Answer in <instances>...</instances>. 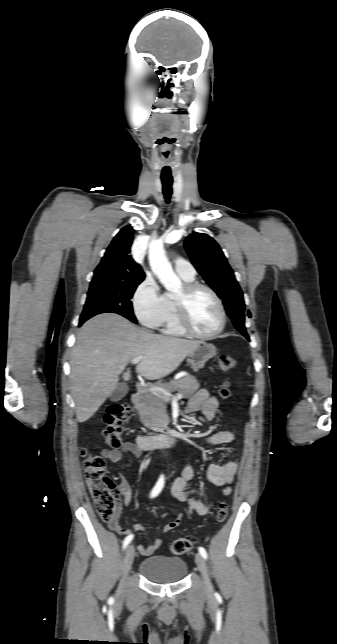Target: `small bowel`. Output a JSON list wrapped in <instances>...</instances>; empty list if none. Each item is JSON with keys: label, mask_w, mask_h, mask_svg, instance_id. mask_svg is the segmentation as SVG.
<instances>
[{"label": "small bowel", "mask_w": 337, "mask_h": 644, "mask_svg": "<svg viewBox=\"0 0 337 644\" xmlns=\"http://www.w3.org/2000/svg\"><path fill=\"white\" fill-rule=\"evenodd\" d=\"M218 399L211 395L207 389H202L198 391L188 402L186 409L187 413H194L196 411H201L205 418L208 421H211L215 418L217 409H218ZM235 439V434L232 431H221L215 433L207 438V442L212 445L226 444L230 443ZM124 453H130L135 457H140L142 455V449L136 446L131 442H126L119 449H106L102 452L104 458L109 460L112 464L119 463ZM239 459L229 461L223 465L216 463H211L207 470V479L209 482L216 486L223 487V495L228 496L232 491V484L238 470ZM194 477V469L191 464V456L187 457V463L182 471L180 477L176 478L171 486V492L175 499L179 502L187 504L190 508L196 511L199 515L207 514L213 504H204L199 500L188 497L184 493V488L187 483ZM117 493L123 498V502L126 506H129L132 503V493L130 486L121 482L117 487ZM168 517V514L165 515ZM180 519L173 518L169 520L163 527L162 532L168 533L174 530L179 525ZM109 528L114 532L122 536L133 535L128 529L123 528L118 518H115L112 522L109 523ZM136 531H143V527L140 523L134 525ZM125 537V538H126ZM164 541L161 538H156L152 544L149 546L138 545L137 550L143 556L152 555L157 549L163 545Z\"/></svg>", "instance_id": "c3829d8e"}]
</instances>
